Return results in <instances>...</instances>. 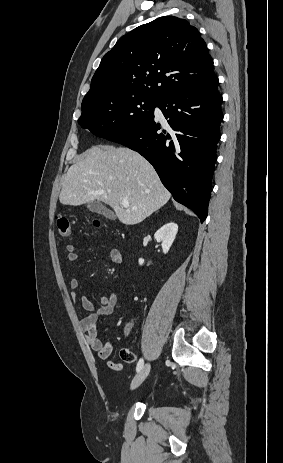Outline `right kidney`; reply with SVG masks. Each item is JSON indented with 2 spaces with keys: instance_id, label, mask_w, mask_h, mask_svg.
Returning a JSON list of instances; mask_svg holds the SVG:
<instances>
[{
  "instance_id": "ca27d5eb",
  "label": "right kidney",
  "mask_w": 283,
  "mask_h": 463,
  "mask_svg": "<svg viewBox=\"0 0 283 463\" xmlns=\"http://www.w3.org/2000/svg\"><path fill=\"white\" fill-rule=\"evenodd\" d=\"M178 232V225L174 222H170L162 226L157 232L154 234V238L157 242L162 243L163 253L166 254L170 247L172 246L176 234ZM144 263V259H139V264L142 265Z\"/></svg>"
}]
</instances>
